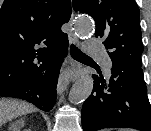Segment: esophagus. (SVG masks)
<instances>
[{
  "mask_svg": "<svg viewBox=\"0 0 151 131\" xmlns=\"http://www.w3.org/2000/svg\"><path fill=\"white\" fill-rule=\"evenodd\" d=\"M72 19H73V13L69 21L70 26H71ZM69 40L71 43H74V44L78 42V39L76 35L72 32V30L69 31ZM76 78H77V74H74L69 68L65 69L59 77L58 85H57V92L59 94L63 93L67 89L70 81H74Z\"/></svg>",
  "mask_w": 151,
  "mask_h": 131,
  "instance_id": "1",
  "label": "esophagus"
}]
</instances>
